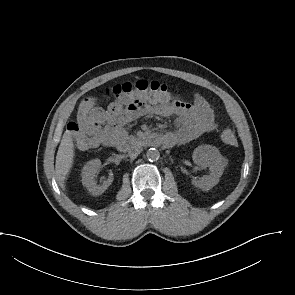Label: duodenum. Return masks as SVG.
Instances as JSON below:
<instances>
[{
	"instance_id": "1",
	"label": "duodenum",
	"mask_w": 295,
	"mask_h": 295,
	"mask_svg": "<svg viewBox=\"0 0 295 295\" xmlns=\"http://www.w3.org/2000/svg\"><path fill=\"white\" fill-rule=\"evenodd\" d=\"M114 145H117L122 149L126 150L134 145H142L148 147L167 145V141L161 135L151 134L144 135L137 139H126L125 137H123L121 140L114 143Z\"/></svg>"
}]
</instances>
